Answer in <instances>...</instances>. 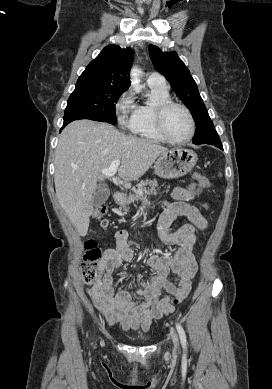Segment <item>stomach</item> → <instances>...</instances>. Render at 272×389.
<instances>
[{
  "label": "stomach",
  "instance_id": "0dacf381",
  "mask_svg": "<svg viewBox=\"0 0 272 389\" xmlns=\"http://www.w3.org/2000/svg\"><path fill=\"white\" fill-rule=\"evenodd\" d=\"M198 160L197 155L184 148H173L161 153L155 162V173L165 179H173L185 176L196 165ZM120 206L124 210L129 203L125 199L119 201Z\"/></svg>",
  "mask_w": 272,
  "mask_h": 389
}]
</instances>
